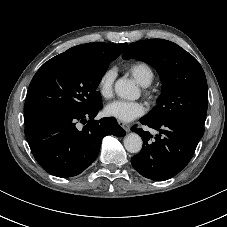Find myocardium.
<instances>
[{"label":"myocardium","instance_id":"obj_1","mask_svg":"<svg viewBox=\"0 0 227 227\" xmlns=\"http://www.w3.org/2000/svg\"><path fill=\"white\" fill-rule=\"evenodd\" d=\"M145 94L152 99L153 98V94L150 91H145Z\"/></svg>","mask_w":227,"mask_h":227}]
</instances>
